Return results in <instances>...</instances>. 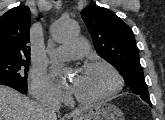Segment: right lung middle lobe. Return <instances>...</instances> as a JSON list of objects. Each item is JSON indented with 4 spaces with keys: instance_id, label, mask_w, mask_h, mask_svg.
Masks as SVG:
<instances>
[{
    "instance_id": "obj_1",
    "label": "right lung middle lobe",
    "mask_w": 165,
    "mask_h": 120,
    "mask_svg": "<svg viewBox=\"0 0 165 120\" xmlns=\"http://www.w3.org/2000/svg\"><path fill=\"white\" fill-rule=\"evenodd\" d=\"M30 58H0V84L17 85L27 89Z\"/></svg>"
}]
</instances>
